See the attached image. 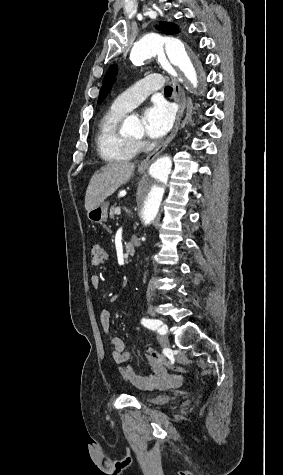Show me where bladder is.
Listing matches in <instances>:
<instances>
[{
    "label": "bladder",
    "instance_id": "31cf9c89",
    "mask_svg": "<svg viewBox=\"0 0 283 475\" xmlns=\"http://www.w3.org/2000/svg\"><path fill=\"white\" fill-rule=\"evenodd\" d=\"M173 398V394H147L141 397V401L148 406H162L169 403Z\"/></svg>",
    "mask_w": 283,
    "mask_h": 475
}]
</instances>
